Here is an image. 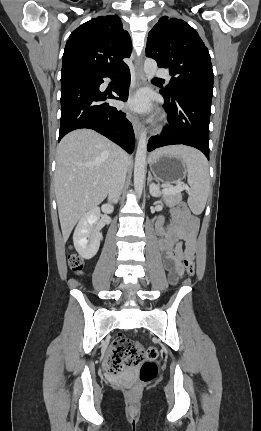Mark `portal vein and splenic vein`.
<instances>
[{
  "label": "portal vein and splenic vein",
  "mask_w": 261,
  "mask_h": 431,
  "mask_svg": "<svg viewBox=\"0 0 261 431\" xmlns=\"http://www.w3.org/2000/svg\"><path fill=\"white\" fill-rule=\"evenodd\" d=\"M94 185H97V183H94ZM185 189H187V188H185ZM181 190H183V187L181 185H177L175 187H173V186H165L163 188V193H175V192H179Z\"/></svg>",
  "instance_id": "portal-vein-and-splenic-vein-1"
}]
</instances>
